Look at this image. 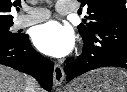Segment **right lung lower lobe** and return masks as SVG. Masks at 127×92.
Wrapping results in <instances>:
<instances>
[{
  "label": "right lung lower lobe",
  "instance_id": "right-lung-lower-lobe-1",
  "mask_svg": "<svg viewBox=\"0 0 127 92\" xmlns=\"http://www.w3.org/2000/svg\"><path fill=\"white\" fill-rule=\"evenodd\" d=\"M0 64L34 76L50 91L53 85V63L32 48L28 35L17 41L0 40Z\"/></svg>",
  "mask_w": 127,
  "mask_h": 92
}]
</instances>
